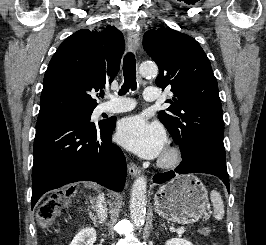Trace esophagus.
I'll list each match as a JSON object with an SVG mask.
<instances>
[{"instance_id": "obj_1", "label": "esophagus", "mask_w": 266, "mask_h": 245, "mask_svg": "<svg viewBox=\"0 0 266 245\" xmlns=\"http://www.w3.org/2000/svg\"><path fill=\"white\" fill-rule=\"evenodd\" d=\"M127 47L130 51L137 52L139 48V33L131 30L127 35ZM129 173L132 177L140 175L141 170L135 164H129Z\"/></svg>"}]
</instances>
